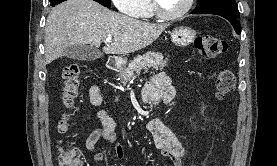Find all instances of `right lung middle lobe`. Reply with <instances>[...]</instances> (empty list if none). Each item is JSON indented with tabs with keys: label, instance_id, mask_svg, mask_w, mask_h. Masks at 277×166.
<instances>
[{
	"label": "right lung middle lobe",
	"instance_id": "1",
	"mask_svg": "<svg viewBox=\"0 0 277 166\" xmlns=\"http://www.w3.org/2000/svg\"><path fill=\"white\" fill-rule=\"evenodd\" d=\"M51 3L56 2L58 0H50ZM97 1L98 3H100L101 5L105 6V7H111L110 5V0H94Z\"/></svg>",
	"mask_w": 277,
	"mask_h": 166
}]
</instances>
